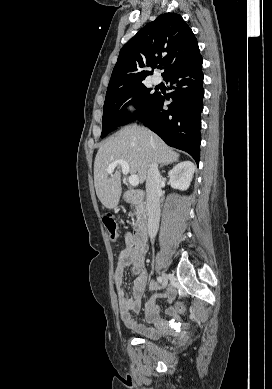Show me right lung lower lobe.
Returning a JSON list of instances; mask_svg holds the SVG:
<instances>
[{"label": "right lung lower lobe", "mask_w": 272, "mask_h": 389, "mask_svg": "<svg viewBox=\"0 0 272 389\" xmlns=\"http://www.w3.org/2000/svg\"><path fill=\"white\" fill-rule=\"evenodd\" d=\"M202 56L169 73L165 80L174 84L167 95L157 99L136 119L159 135L169 146L188 152L199 164L201 118L204 96ZM172 98L168 109L163 103ZM135 119V120H136Z\"/></svg>", "instance_id": "1"}]
</instances>
